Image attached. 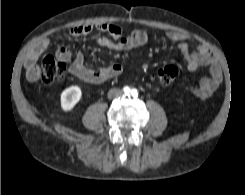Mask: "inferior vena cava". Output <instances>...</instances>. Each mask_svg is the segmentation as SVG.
I'll list each match as a JSON object with an SVG mask.
<instances>
[{
    "mask_svg": "<svg viewBox=\"0 0 245 195\" xmlns=\"http://www.w3.org/2000/svg\"><path fill=\"white\" fill-rule=\"evenodd\" d=\"M123 95V91L117 88L110 89L108 92V98L113 99V98H118Z\"/></svg>",
    "mask_w": 245,
    "mask_h": 195,
    "instance_id": "1",
    "label": "inferior vena cava"
}]
</instances>
